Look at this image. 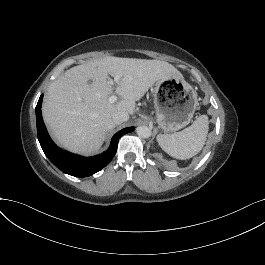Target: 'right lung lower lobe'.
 Returning <instances> with one entry per match:
<instances>
[{
    "instance_id": "98d812e1",
    "label": "right lung lower lobe",
    "mask_w": 265,
    "mask_h": 265,
    "mask_svg": "<svg viewBox=\"0 0 265 265\" xmlns=\"http://www.w3.org/2000/svg\"><path fill=\"white\" fill-rule=\"evenodd\" d=\"M43 96H40L36 106L37 133L40 145L48 159L62 172L75 176L87 177L95 174L104 168L114 157L117 151L118 140L126 133L134 130V127H127L117 132L111 140L107 151L99 156L81 157L63 151L51 140L42 119L41 105Z\"/></svg>"
}]
</instances>
